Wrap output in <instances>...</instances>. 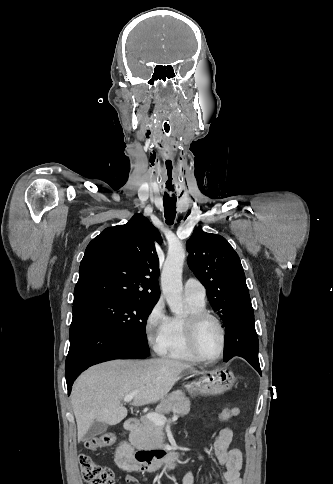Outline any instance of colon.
Segmentation results:
<instances>
[{"label": "colon", "instance_id": "colon-1", "mask_svg": "<svg viewBox=\"0 0 333 484\" xmlns=\"http://www.w3.org/2000/svg\"><path fill=\"white\" fill-rule=\"evenodd\" d=\"M232 407L222 408L217 416L220 420H227L230 416V410ZM116 441V436L112 432L101 434L97 437L90 439L86 446L90 450H96L98 448L110 447ZM79 464L81 468L82 477L88 484H114L115 475L114 472L105 466H101L95 463L88 455L81 454L79 456Z\"/></svg>", "mask_w": 333, "mask_h": 484}]
</instances>
